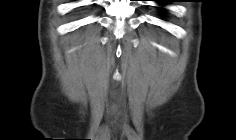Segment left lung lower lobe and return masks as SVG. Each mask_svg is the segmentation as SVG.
<instances>
[{"instance_id":"left-lung-lower-lobe-1","label":"left lung lower lobe","mask_w":236,"mask_h":140,"mask_svg":"<svg viewBox=\"0 0 236 140\" xmlns=\"http://www.w3.org/2000/svg\"><path fill=\"white\" fill-rule=\"evenodd\" d=\"M174 0H157V2L161 3V4H165V3H168V2H172Z\"/></svg>"}]
</instances>
